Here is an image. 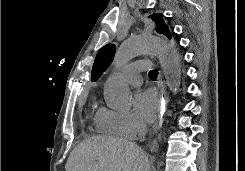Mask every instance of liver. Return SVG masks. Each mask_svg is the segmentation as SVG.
I'll use <instances>...</instances> for the list:
<instances>
[{"instance_id": "liver-1", "label": "liver", "mask_w": 245, "mask_h": 171, "mask_svg": "<svg viewBox=\"0 0 245 171\" xmlns=\"http://www.w3.org/2000/svg\"><path fill=\"white\" fill-rule=\"evenodd\" d=\"M66 171H151L147 155L133 142L111 136L82 141L70 154Z\"/></svg>"}]
</instances>
